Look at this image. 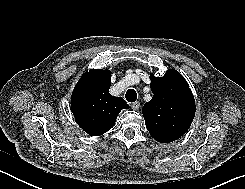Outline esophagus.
Wrapping results in <instances>:
<instances>
[{
  "label": "esophagus",
  "instance_id": "obj_1",
  "mask_svg": "<svg viewBox=\"0 0 245 189\" xmlns=\"http://www.w3.org/2000/svg\"><path fill=\"white\" fill-rule=\"evenodd\" d=\"M131 108H132L133 110H138V109L140 108V102H139V101L133 102V103L131 104Z\"/></svg>",
  "mask_w": 245,
  "mask_h": 189
}]
</instances>
